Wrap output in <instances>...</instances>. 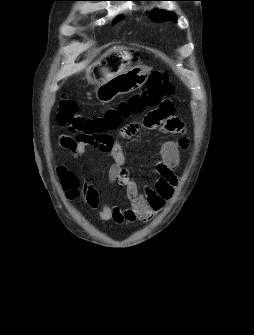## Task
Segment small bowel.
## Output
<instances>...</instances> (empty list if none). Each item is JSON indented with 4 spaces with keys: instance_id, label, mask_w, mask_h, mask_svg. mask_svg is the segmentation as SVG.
<instances>
[{
    "instance_id": "1",
    "label": "small bowel",
    "mask_w": 254,
    "mask_h": 335,
    "mask_svg": "<svg viewBox=\"0 0 254 335\" xmlns=\"http://www.w3.org/2000/svg\"><path fill=\"white\" fill-rule=\"evenodd\" d=\"M162 104H156L155 108H149L143 122L128 120L122 125L123 131L117 132L118 138H129L138 128L164 135H181L177 142L162 141L160 143V158L156 162L158 179L151 187L141 192L136 182L131 177L129 169L125 166L126 157L118 140H113L108 150V157L112 164L108 170V179L111 183H118L126 189L128 206L121 208L110 205L104 201L91 184H84L81 194L84 202L91 208H99L98 218L101 221H114L116 223L148 221L155 213L160 211L165 203L172 197L177 185L176 169L180 161L182 151L187 148L188 140L184 136L183 122L174 117L175 104L170 98H162ZM113 139V138H112ZM60 145L70 151L74 156H81L88 144L69 135L58 138ZM60 182L66 196L75 199L79 194L78 176L60 168L58 172Z\"/></svg>"
}]
</instances>
